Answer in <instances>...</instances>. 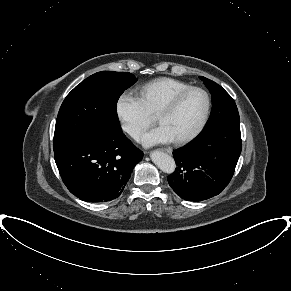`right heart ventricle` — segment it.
I'll return each mask as SVG.
<instances>
[{
	"label": "right heart ventricle",
	"instance_id": "1",
	"mask_svg": "<svg viewBox=\"0 0 291 291\" xmlns=\"http://www.w3.org/2000/svg\"><path fill=\"white\" fill-rule=\"evenodd\" d=\"M188 87L190 84L184 81L161 77L141 85L138 87L137 93L148 112L156 116L171 97Z\"/></svg>",
	"mask_w": 291,
	"mask_h": 291
}]
</instances>
